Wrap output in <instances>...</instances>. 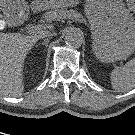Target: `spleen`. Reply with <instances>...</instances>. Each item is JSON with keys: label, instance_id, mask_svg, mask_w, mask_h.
<instances>
[{"label": "spleen", "instance_id": "obj_1", "mask_svg": "<svg viewBox=\"0 0 135 135\" xmlns=\"http://www.w3.org/2000/svg\"><path fill=\"white\" fill-rule=\"evenodd\" d=\"M111 85L113 89L126 92L135 87V58L127 62L123 67H116L111 73Z\"/></svg>", "mask_w": 135, "mask_h": 135}]
</instances>
